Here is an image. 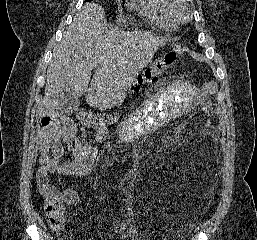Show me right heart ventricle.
I'll return each instance as SVG.
<instances>
[{"label": "right heart ventricle", "instance_id": "right-heart-ventricle-1", "mask_svg": "<svg viewBox=\"0 0 257 240\" xmlns=\"http://www.w3.org/2000/svg\"><path fill=\"white\" fill-rule=\"evenodd\" d=\"M155 26L163 30H173L176 19L169 0H140L136 5Z\"/></svg>", "mask_w": 257, "mask_h": 240}]
</instances>
